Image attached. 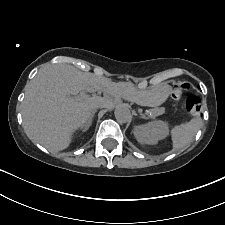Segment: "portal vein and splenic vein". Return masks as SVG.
<instances>
[{
	"instance_id": "18ae733b",
	"label": "portal vein and splenic vein",
	"mask_w": 225,
	"mask_h": 225,
	"mask_svg": "<svg viewBox=\"0 0 225 225\" xmlns=\"http://www.w3.org/2000/svg\"><path fill=\"white\" fill-rule=\"evenodd\" d=\"M85 96H86L85 92H81L80 96L78 97L84 98ZM146 113L149 114V111L147 110Z\"/></svg>"
}]
</instances>
